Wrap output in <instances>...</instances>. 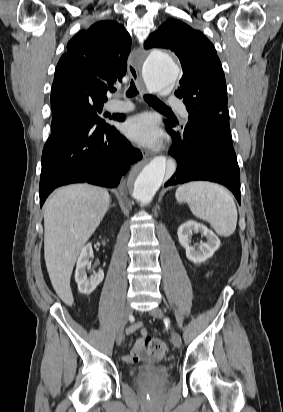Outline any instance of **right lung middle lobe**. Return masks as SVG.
Here are the masks:
<instances>
[{
    "label": "right lung middle lobe",
    "mask_w": 283,
    "mask_h": 412,
    "mask_svg": "<svg viewBox=\"0 0 283 412\" xmlns=\"http://www.w3.org/2000/svg\"><path fill=\"white\" fill-rule=\"evenodd\" d=\"M103 103L81 101L73 104L66 111L52 115L51 129L59 127H73L84 118H92L97 122H103L100 113ZM106 116V115H104Z\"/></svg>",
    "instance_id": "obj_1"
}]
</instances>
